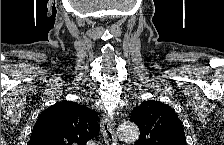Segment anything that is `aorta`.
<instances>
[{
  "mask_svg": "<svg viewBox=\"0 0 224 145\" xmlns=\"http://www.w3.org/2000/svg\"><path fill=\"white\" fill-rule=\"evenodd\" d=\"M118 137L127 143H133L139 138V129L132 122H124L118 127Z\"/></svg>",
  "mask_w": 224,
  "mask_h": 145,
  "instance_id": "762f6f07",
  "label": "aorta"
}]
</instances>
